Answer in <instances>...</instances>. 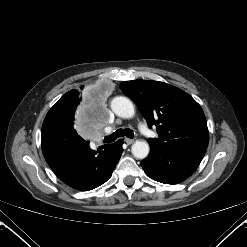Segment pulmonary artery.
<instances>
[{
    "instance_id": "pulmonary-artery-1",
    "label": "pulmonary artery",
    "mask_w": 247,
    "mask_h": 247,
    "mask_svg": "<svg viewBox=\"0 0 247 247\" xmlns=\"http://www.w3.org/2000/svg\"><path fill=\"white\" fill-rule=\"evenodd\" d=\"M140 129H141L142 131L146 132V130H145L142 126L140 127Z\"/></svg>"
}]
</instances>
